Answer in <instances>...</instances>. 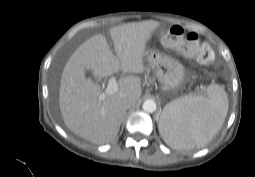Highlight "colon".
Listing matches in <instances>:
<instances>
[{
    "mask_svg": "<svg viewBox=\"0 0 255 177\" xmlns=\"http://www.w3.org/2000/svg\"><path fill=\"white\" fill-rule=\"evenodd\" d=\"M162 43L175 49L186 59H194L200 64H210L214 53L206 43L200 44L199 36L194 32L185 33L181 26H172L162 37Z\"/></svg>",
    "mask_w": 255,
    "mask_h": 177,
    "instance_id": "colon-1",
    "label": "colon"
}]
</instances>
